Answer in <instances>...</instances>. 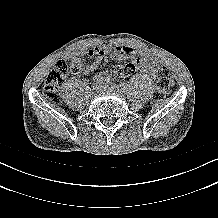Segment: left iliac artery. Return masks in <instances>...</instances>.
Listing matches in <instances>:
<instances>
[{
	"label": "left iliac artery",
	"instance_id": "44dca946",
	"mask_svg": "<svg viewBox=\"0 0 218 218\" xmlns=\"http://www.w3.org/2000/svg\"><path fill=\"white\" fill-rule=\"evenodd\" d=\"M105 81L109 84V85H113L116 86L117 82L116 81H112L109 77L105 79Z\"/></svg>",
	"mask_w": 218,
	"mask_h": 218
}]
</instances>
